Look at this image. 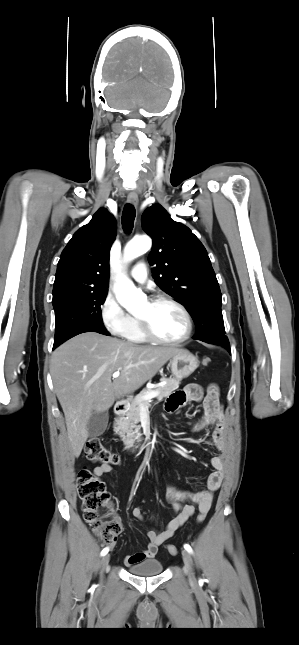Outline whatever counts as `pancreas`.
Instances as JSON below:
<instances>
[{
    "instance_id": "1",
    "label": "pancreas",
    "mask_w": 299,
    "mask_h": 645,
    "mask_svg": "<svg viewBox=\"0 0 299 645\" xmlns=\"http://www.w3.org/2000/svg\"><path fill=\"white\" fill-rule=\"evenodd\" d=\"M161 381L166 382V384L153 389L145 388L135 398L129 397L128 410L116 420L114 431L121 437L125 445L141 441L142 434L140 433V427L137 425L140 422L141 406L146 409L150 407V400H142V397L156 391L159 393L156 396L157 399L162 400L176 390L180 384V380L176 378H163Z\"/></svg>"
}]
</instances>
